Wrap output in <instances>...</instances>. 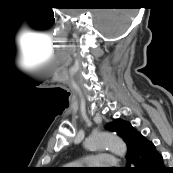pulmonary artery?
Segmentation results:
<instances>
[{"label": "pulmonary artery", "mask_w": 173, "mask_h": 173, "mask_svg": "<svg viewBox=\"0 0 173 173\" xmlns=\"http://www.w3.org/2000/svg\"><path fill=\"white\" fill-rule=\"evenodd\" d=\"M73 165H86L98 168H109L119 164L118 159L111 154L93 155L82 160L72 162Z\"/></svg>", "instance_id": "e3ab8cb5"}]
</instances>
